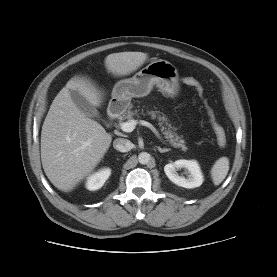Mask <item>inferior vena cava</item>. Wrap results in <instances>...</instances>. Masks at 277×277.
Instances as JSON below:
<instances>
[{
	"label": "inferior vena cava",
	"mask_w": 277,
	"mask_h": 277,
	"mask_svg": "<svg viewBox=\"0 0 277 277\" xmlns=\"http://www.w3.org/2000/svg\"><path fill=\"white\" fill-rule=\"evenodd\" d=\"M113 147L120 152H128L134 147V144L128 139L117 138L113 142Z\"/></svg>",
	"instance_id": "obj_1"
}]
</instances>
